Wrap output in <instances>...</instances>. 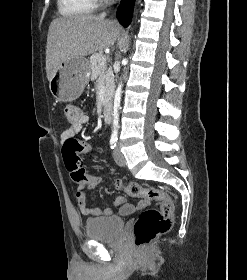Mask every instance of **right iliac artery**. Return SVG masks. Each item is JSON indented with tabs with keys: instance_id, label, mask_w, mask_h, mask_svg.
Masks as SVG:
<instances>
[{
	"instance_id": "obj_1",
	"label": "right iliac artery",
	"mask_w": 247,
	"mask_h": 280,
	"mask_svg": "<svg viewBox=\"0 0 247 280\" xmlns=\"http://www.w3.org/2000/svg\"><path fill=\"white\" fill-rule=\"evenodd\" d=\"M116 143H117V137H111L110 139V147L111 149H113L114 147H116Z\"/></svg>"
}]
</instances>
